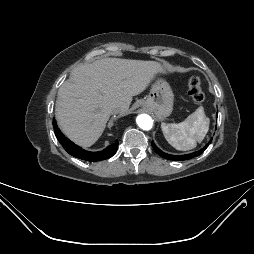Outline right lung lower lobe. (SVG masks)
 Instances as JSON below:
<instances>
[{
  "instance_id": "1",
  "label": "right lung lower lobe",
  "mask_w": 254,
  "mask_h": 254,
  "mask_svg": "<svg viewBox=\"0 0 254 254\" xmlns=\"http://www.w3.org/2000/svg\"><path fill=\"white\" fill-rule=\"evenodd\" d=\"M53 127H54L55 135L58 141L60 142V144L70 155L76 158H80L86 161H100V160H105L112 157L117 151L118 141L108 146L103 151H99V152L86 151L82 149L81 147L75 145L68 138H66L57 127L55 120H53Z\"/></svg>"
}]
</instances>
